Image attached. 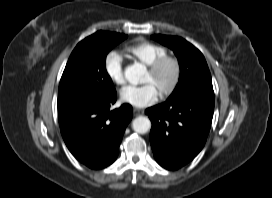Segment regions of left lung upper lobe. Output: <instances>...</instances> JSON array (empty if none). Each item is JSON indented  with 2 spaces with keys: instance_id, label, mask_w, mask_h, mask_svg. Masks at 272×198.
<instances>
[{
  "instance_id": "left-lung-upper-lobe-1",
  "label": "left lung upper lobe",
  "mask_w": 272,
  "mask_h": 198,
  "mask_svg": "<svg viewBox=\"0 0 272 198\" xmlns=\"http://www.w3.org/2000/svg\"><path fill=\"white\" fill-rule=\"evenodd\" d=\"M152 38L172 49L179 61V82L169 99L193 92L214 93L206 60L196 47L181 37L153 35Z\"/></svg>"
}]
</instances>
